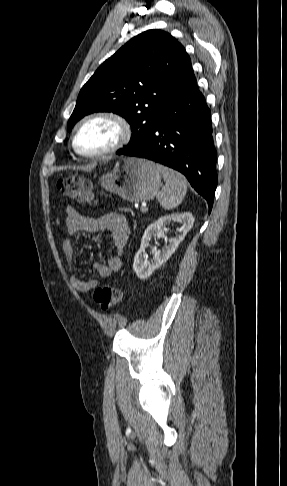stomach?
<instances>
[{
  "label": "stomach",
  "mask_w": 287,
  "mask_h": 486,
  "mask_svg": "<svg viewBox=\"0 0 287 486\" xmlns=\"http://www.w3.org/2000/svg\"><path fill=\"white\" fill-rule=\"evenodd\" d=\"M157 164L142 158L125 157L100 179L101 186L130 202L153 199L161 186Z\"/></svg>",
  "instance_id": "1"
}]
</instances>
